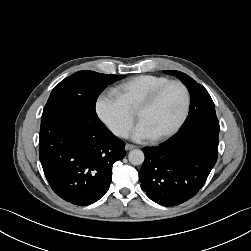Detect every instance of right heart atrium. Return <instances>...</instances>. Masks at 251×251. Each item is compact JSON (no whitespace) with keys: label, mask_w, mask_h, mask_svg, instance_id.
<instances>
[{"label":"right heart atrium","mask_w":251,"mask_h":251,"mask_svg":"<svg viewBox=\"0 0 251 251\" xmlns=\"http://www.w3.org/2000/svg\"><path fill=\"white\" fill-rule=\"evenodd\" d=\"M95 112L104 125L118 137L125 136L134 121V113L112 89L103 90L97 96Z\"/></svg>","instance_id":"1"}]
</instances>
